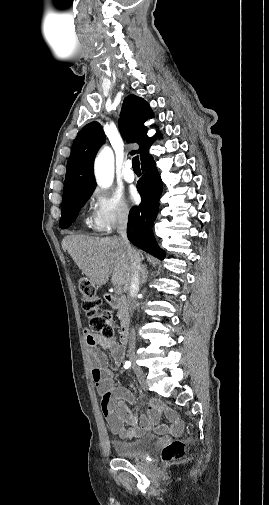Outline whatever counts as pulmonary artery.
Segmentation results:
<instances>
[{"label": "pulmonary artery", "instance_id": "pulmonary-artery-1", "mask_svg": "<svg viewBox=\"0 0 269 505\" xmlns=\"http://www.w3.org/2000/svg\"><path fill=\"white\" fill-rule=\"evenodd\" d=\"M123 178L127 182H133L135 180V173L132 170V162L130 160H127L125 162V167L123 170Z\"/></svg>", "mask_w": 269, "mask_h": 505}]
</instances>
